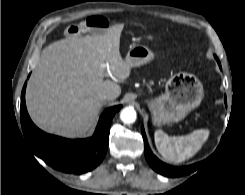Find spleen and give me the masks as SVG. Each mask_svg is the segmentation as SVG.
<instances>
[{
  "label": "spleen",
  "instance_id": "3e777b00",
  "mask_svg": "<svg viewBox=\"0 0 245 195\" xmlns=\"http://www.w3.org/2000/svg\"><path fill=\"white\" fill-rule=\"evenodd\" d=\"M209 131L198 129L186 136L169 137L162 130L154 133L155 144L161 156L173 163H181L193 157L207 140Z\"/></svg>",
  "mask_w": 245,
  "mask_h": 195
}]
</instances>
